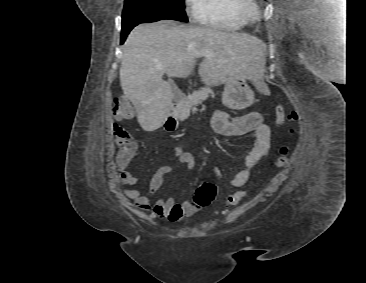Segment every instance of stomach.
<instances>
[{"label": "stomach", "instance_id": "1", "mask_svg": "<svg viewBox=\"0 0 366 283\" xmlns=\"http://www.w3.org/2000/svg\"><path fill=\"white\" fill-rule=\"evenodd\" d=\"M237 94H245L250 98L245 104L246 106L253 102V92L248 85L247 79L244 77H234L225 83L222 97L223 104L229 108L236 109L237 104L234 97Z\"/></svg>", "mask_w": 366, "mask_h": 283}]
</instances>
